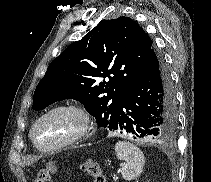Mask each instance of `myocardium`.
Returning a JSON list of instances; mask_svg holds the SVG:
<instances>
[{
	"label": "myocardium",
	"instance_id": "1",
	"mask_svg": "<svg viewBox=\"0 0 211 182\" xmlns=\"http://www.w3.org/2000/svg\"><path fill=\"white\" fill-rule=\"evenodd\" d=\"M59 111H71L74 112L75 114H77L79 116V118L81 119V126L79 128V130L71 135L70 137H68L67 139L50 145V146H42L40 145L36 138H35V130L37 128V126L39 125V123L45 119L46 117H48L49 115L55 113V112H59ZM92 128V119L89 115V113L81 106L76 105V104H60L57 105L51 109H49L48 111H46L45 113H43L41 116H39L36 121L34 122L31 130H30V138L33 142V144L42 151H52V150H56L59 149L61 147H65L71 144H74L80 140H82L91 130Z\"/></svg>",
	"mask_w": 211,
	"mask_h": 182
}]
</instances>
